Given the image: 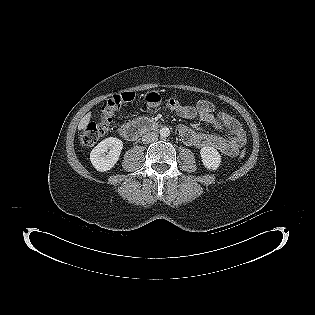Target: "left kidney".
<instances>
[{
	"label": "left kidney",
	"instance_id": "obj_1",
	"mask_svg": "<svg viewBox=\"0 0 315 315\" xmlns=\"http://www.w3.org/2000/svg\"><path fill=\"white\" fill-rule=\"evenodd\" d=\"M200 155L203 165L209 170H216L221 163V156L219 152L209 146L201 148Z\"/></svg>",
	"mask_w": 315,
	"mask_h": 315
}]
</instances>
